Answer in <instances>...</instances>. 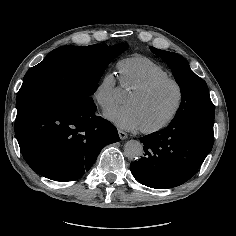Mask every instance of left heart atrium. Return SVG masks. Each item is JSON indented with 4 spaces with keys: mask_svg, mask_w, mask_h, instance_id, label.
<instances>
[{
    "mask_svg": "<svg viewBox=\"0 0 236 236\" xmlns=\"http://www.w3.org/2000/svg\"><path fill=\"white\" fill-rule=\"evenodd\" d=\"M106 117L116 126L126 130L139 129L141 127L139 115L131 106L118 107L106 113Z\"/></svg>",
    "mask_w": 236,
    "mask_h": 236,
    "instance_id": "obj_1",
    "label": "left heart atrium"
}]
</instances>
